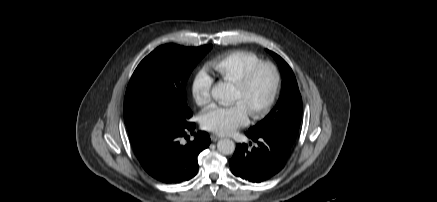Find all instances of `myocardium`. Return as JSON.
<instances>
[{"mask_svg":"<svg viewBox=\"0 0 437 202\" xmlns=\"http://www.w3.org/2000/svg\"><path fill=\"white\" fill-rule=\"evenodd\" d=\"M269 68L273 74V87L268 99L255 111L250 113L252 119L257 120L264 117L273 106L280 88L281 76L277 66L270 61H259L252 65L246 72L235 82V86L240 89H246L253 80L255 74L261 68Z\"/></svg>","mask_w":437,"mask_h":202,"instance_id":"obj_1","label":"myocardium"}]
</instances>
